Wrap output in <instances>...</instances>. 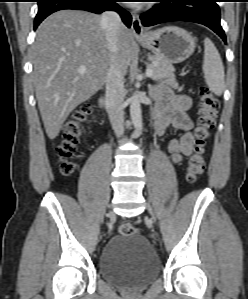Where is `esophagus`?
<instances>
[{"mask_svg": "<svg viewBox=\"0 0 248 299\" xmlns=\"http://www.w3.org/2000/svg\"><path fill=\"white\" fill-rule=\"evenodd\" d=\"M131 30L137 39L144 38L147 35L146 29L143 27L140 17L137 14L132 15Z\"/></svg>", "mask_w": 248, "mask_h": 299, "instance_id": "esophagus-1", "label": "esophagus"}]
</instances>
